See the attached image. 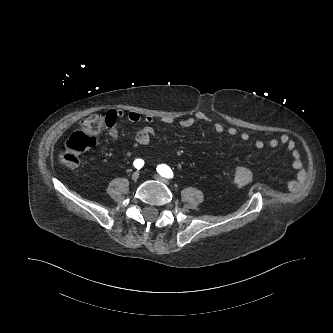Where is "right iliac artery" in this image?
Masks as SVG:
<instances>
[{
    "mask_svg": "<svg viewBox=\"0 0 333 333\" xmlns=\"http://www.w3.org/2000/svg\"><path fill=\"white\" fill-rule=\"evenodd\" d=\"M133 165H134V167L136 168V169H141L143 166H144V160H142V159H136L135 161H134V163H133Z\"/></svg>",
    "mask_w": 333,
    "mask_h": 333,
    "instance_id": "1",
    "label": "right iliac artery"
}]
</instances>
